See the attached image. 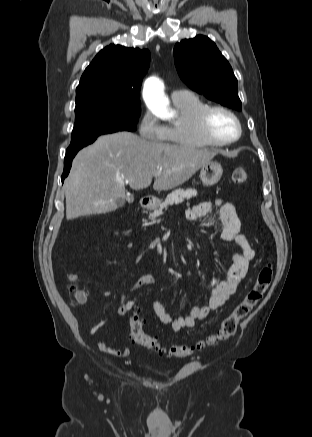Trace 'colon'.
I'll list each match as a JSON object with an SVG mask.
<instances>
[{"label": "colon", "mask_w": 312, "mask_h": 437, "mask_svg": "<svg viewBox=\"0 0 312 437\" xmlns=\"http://www.w3.org/2000/svg\"><path fill=\"white\" fill-rule=\"evenodd\" d=\"M249 175L247 168L239 166L232 171L233 182L241 185L248 183ZM273 277V267L271 263L264 264L258 272L256 281L251 289L245 295L244 299L233 309V311L222 321L220 328L193 344L171 345L164 348L160 345L158 340L152 336L147 335L143 331V318L139 312H133L129 317V336L130 339L143 347L150 348L161 353H167L173 357H186L196 351L215 346L232 337L241 320H243L250 311L261 300L263 294L268 289ZM74 280V277H71ZM70 291L74 293L75 301L81 304L85 300L84 293L79 290L74 284L70 285Z\"/></svg>", "instance_id": "obj_1"}]
</instances>
